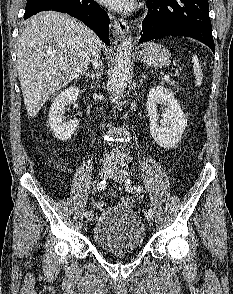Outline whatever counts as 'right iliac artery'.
Instances as JSON below:
<instances>
[{
	"label": "right iliac artery",
	"mask_w": 233,
	"mask_h": 294,
	"mask_svg": "<svg viewBox=\"0 0 233 294\" xmlns=\"http://www.w3.org/2000/svg\"><path fill=\"white\" fill-rule=\"evenodd\" d=\"M105 186H106V180H102L100 183L97 184L95 189L96 191H101L105 188ZM84 215L87 217L90 215V212L86 211Z\"/></svg>",
	"instance_id": "right-iliac-artery-1"
}]
</instances>
